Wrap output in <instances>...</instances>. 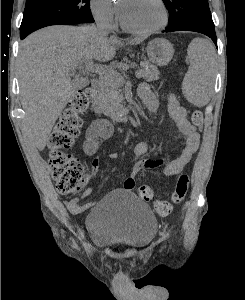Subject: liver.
I'll list each match as a JSON object with an SVG mask.
<instances>
[{"label": "liver", "mask_w": 245, "mask_h": 300, "mask_svg": "<svg viewBox=\"0 0 245 300\" xmlns=\"http://www.w3.org/2000/svg\"><path fill=\"white\" fill-rule=\"evenodd\" d=\"M145 37H135L136 45ZM116 36L108 37L95 26L54 25L30 34L21 42L18 76L24 125L28 136L42 151L51 130L74 94L70 71L96 59H113Z\"/></svg>", "instance_id": "6515ba94"}]
</instances>
